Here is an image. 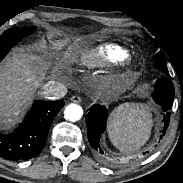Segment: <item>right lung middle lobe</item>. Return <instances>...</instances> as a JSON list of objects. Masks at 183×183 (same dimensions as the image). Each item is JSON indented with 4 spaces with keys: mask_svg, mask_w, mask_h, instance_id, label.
Wrapping results in <instances>:
<instances>
[{
    "mask_svg": "<svg viewBox=\"0 0 183 183\" xmlns=\"http://www.w3.org/2000/svg\"><path fill=\"white\" fill-rule=\"evenodd\" d=\"M36 29V26L21 28V29H9L0 37V54L7 53L16 43H18L25 36L30 35Z\"/></svg>",
    "mask_w": 183,
    "mask_h": 183,
    "instance_id": "right-lung-middle-lobe-1",
    "label": "right lung middle lobe"
}]
</instances>
